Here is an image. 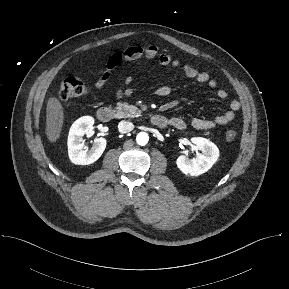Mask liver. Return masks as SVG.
I'll return each mask as SVG.
<instances>
[{
	"label": "liver",
	"mask_w": 289,
	"mask_h": 289,
	"mask_svg": "<svg viewBox=\"0 0 289 289\" xmlns=\"http://www.w3.org/2000/svg\"><path fill=\"white\" fill-rule=\"evenodd\" d=\"M64 123V109L56 97H50L46 107V136L50 143L56 142Z\"/></svg>",
	"instance_id": "obj_1"
}]
</instances>
